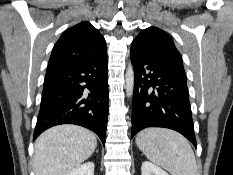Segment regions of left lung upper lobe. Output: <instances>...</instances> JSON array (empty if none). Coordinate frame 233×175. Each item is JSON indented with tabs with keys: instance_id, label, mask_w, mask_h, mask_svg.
<instances>
[{
	"instance_id": "obj_1",
	"label": "left lung upper lobe",
	"mask_w": 233,
	"mask_h": 175,
	"mask_svg": "<svg viewBox=\"0 0 233 175\" xmlns=\"http://www.w3.org/2000/svg\"><path fill=\"white\" fill-rule=\"evenodd\" d=\"M153 60L173 69L185 72L182 57L176 49L172 38L156 27L144 29L132 42Z\"/></svg>"
}]
</instances>
